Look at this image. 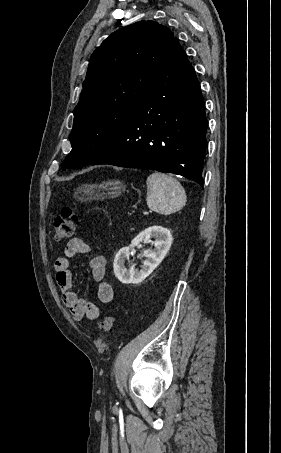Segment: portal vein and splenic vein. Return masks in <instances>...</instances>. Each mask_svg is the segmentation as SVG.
<instances>
[{
    "label": "portal vein and splenic vein",
    "instance_id": "1",
    "mask_svg": "<svg viewBox=\"0 0 281 453\" xmlns=\"http://www.w3.org/2000/svg\"><path fill=\"white\" fill-rule=\"evenodd\" d=\"M130 212L133 213L134 211L131 210ZM155 212H156L155 210H148V211L146 210L143 214L144 215H149L150 213H155Z\"/></svg>",
    "mask_w": 281,
    "mask_h": 453
}]
</instances>
